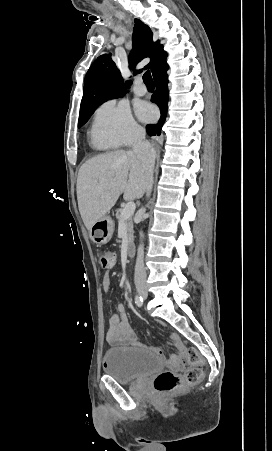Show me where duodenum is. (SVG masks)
Instances as JSON below:
<instances>
[{"instance_id": "duodenum-1", "label": "duodenum", "mask_w": 272, "mask_h": 451, "mask_svg": "<svg viewBox=\"0 0 272 451\" xmlns=\"http://www.w3.org/2000/svg\"><path fill=\"white\" fill-rule=\"evenodd\" d=\"M134 246L132 244H129L127 246V255L132 257L134 255Z\"/></svg>"}]
</instances>
